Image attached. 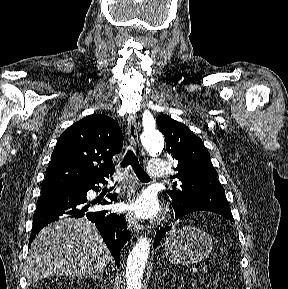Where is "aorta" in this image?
Here are the masks:
<instances>
[{
  "label": "aorta",
  "mask_w": 288,
  "mask_h": 289,
  "mask_svg": "<svg viewBox=\"0 0 288 289\" xmlns=\"http://www.w3.org/2000/svg\"><path fill=\"white\" fill-rule=\"evenodd\" d=\"M142 144L151 155L161 153L164 147V139L160 132L151 127L144 131ZM150 252V241L146 236L140 237L126 262V289H142V275Z\"/></svg>",
  "instance_id": "762f6f07"
}]
</instances>
